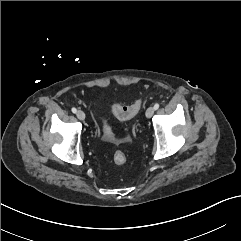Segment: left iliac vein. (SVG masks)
<instances>
[{
    "mask_svg": "<svg viewBox=\"0 0 241 241\" xmlns=\"http://www.w3.org/2000/svg\"><path fill=\"white\" fill-rule=\"evenodd\" d=\"M153 114H154V107H149L146 110V113H145L146 117L147 118H151L153 116Z\"/></svg>",
    "mask_w": 241,
    "mask_h": 241,
    "instance_id": "4c4485c4",
    "label": "left iliac vein"
}]
</instances>
